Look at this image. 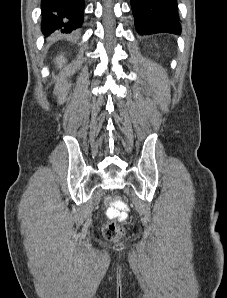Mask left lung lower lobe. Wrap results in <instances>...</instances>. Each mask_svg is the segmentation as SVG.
<instances>
[{
  "instance_id": "obj_1",
  "label": "left lung lower lobe",
  "mask_w": 227,
  "mask_h": 298,
  "mask_svg": "<svg viewBox=\"0 0 227 298\" xmlns=\"http://www.w3.org/2000/svg\"><path fill=\"white\" fill-rule=\"evenodd\" d=\"M139 34L181 33L177 0H130Z\"/></svg>"
}]
</instances>
